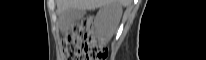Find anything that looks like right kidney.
<instances>
[{
  "instance_id": "right-kidney-1",
  "label": "right kidney",
  "mask_w": 206,
  "mask_h": 60,
  "mask_svg": "<svg viewBox=\"0 0 206 60\" xmlns=\"http://www.w3.org/2000/svg\"><path fill=\"white\" fill-rule=\"evenodd\" d=\"M121 17V7L112 3L103 7L97 15L98 34L107 41L111 38Z\"/></svg>"
}]
</instances>
